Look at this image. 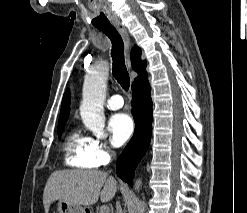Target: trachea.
Returning a JSON list of instances; mask_svg holds the SVG:
<instances>
[{
	"label": "trachea",
	"mask_w": 247,
	"mask_h": 213,
	"mask_svg": "<svg viewBox=\"0 0 247 213\" xmlns=\"http://www.w3.org/2000/svg\"><path fill=\"white\" fill-rule=\"evenodd\" d=\"M112 42L111 56L113 60L112 74L124 90L130 86V78L125 65L124 43L118 31L110 24L96 26Z\"/></svg>",
	"instance_id": "1"
}]
</instances>
